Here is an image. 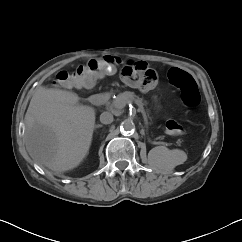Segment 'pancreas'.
I'll return each mask as SVG.
<instances>
[{
    "instance_id": "obj_1",
    "label": "pancreas",
    "mask_w": 242,
    "mask_h": 242,
    "mask_svg": "<svg viewBox=\"0 0 242 242\" xmlns=\"http://www.w3.org/2000/svg\"><path fill=\"white\" fill-rule=\"evenodd\" d=\"M133 101L140 107H143L144 105L142 98H139L133 92L126 91L117 95V97L110 103V108L120 111L127 103Z\"/></svg>"
}]
</instances>
